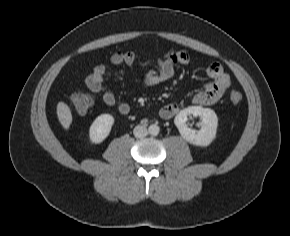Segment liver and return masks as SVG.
Segmentation results:
<instances>
[{
    "label": "liver",
    "instance_id": "obj_1",
    "mask_svg": "<svg viewBox=\"0 0 290 236\" xmlns=\"http://www.w3.org/2000/svg\"><path fill=\"white\" fill-rule=\"evenodd\" d=\"M57 116L63 128L68 130L72 123V113L69 106L62 101L57 104Z\"/></svg>",
    "mask_w": 290,
    "mask_h": 236
}]
</instances>
